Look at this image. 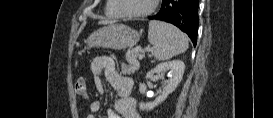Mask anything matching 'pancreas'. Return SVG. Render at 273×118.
Here are the masks:
<instances>
[{
	"label": "pancreas",
	"instance_id": "pancreas-1",
	"mask_svg": "<svg viewBox=\"0 0 273 118\" xmlns=\"http://www.w3.org/2000/svg\"><path fill=\"white\" fill-rule=\"evenodd\" d=\"M137 57H138V52L134 51L133 49L129 50L126 53V60L128 62V65L126 64L121 65V72L123 74L130 75L138 69L139 63L137 61Z\"/></svg>",
	"mask_w": 273,
	"mask_h": 118
}]
</instances>
